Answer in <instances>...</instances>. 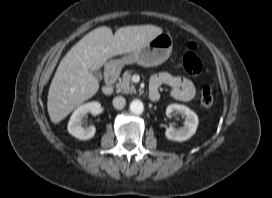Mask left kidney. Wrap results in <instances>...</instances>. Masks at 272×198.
<instances>
[{
	"instance_id": "5707ae66",
	"label": "left kidney",
	"mask_w": 272,
	"mask_h": 198,
	"mask_svg": "<svg viewBox=\"0 0 272 198\" xmlns=\"http://www.w3.org/2000/svg\"><path fill=\"white\" fill-rule=\"evenodd\" d=\"M171 114L185 116V123L184 126L179 129H175L174 127L167 128L165 131L167 139L181 142L195 134L199 123L198 116L195 112L184 105L170 104L166 109V115L170 117Z\"/></svg>"
}]
</instances>
